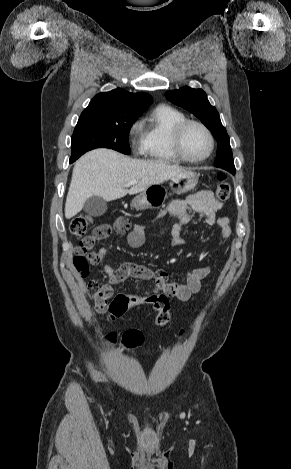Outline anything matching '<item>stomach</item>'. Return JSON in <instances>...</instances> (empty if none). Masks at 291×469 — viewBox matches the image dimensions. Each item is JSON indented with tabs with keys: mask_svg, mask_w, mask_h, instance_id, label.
<instances>
[{
	"mask_svg": "<svg viewBox=\"0 0 291 469\" xmlns=\"http://www.w3.org/2000/svg\"><path fill=\"white\" fill-rule=\"evenodd\" d=\"M198 183L195 172L183 171L170 179L172 193L182 194L192 190ZM168 198L167 189L162 184H153L137 195L131 202L136 210L158 208Z\"/></svg>",
	"mask_w": 291,
	"mask_h": 469,
	"instance_id": "obj_1",
	"label": "stomach"
}]
</instances>
